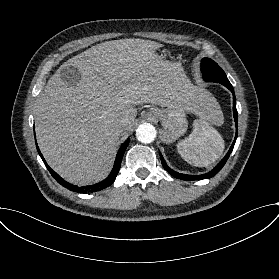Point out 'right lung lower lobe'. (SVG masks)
I'll list each match as a JSON object with an SVG mask.
<instances>
[{
  "label": "right lung lower lobe",
  "instance_id": "obj_1",
  "mask_svg": "<svg viewBox=\"0 0 279 279\" xmlns=\"http://www.w3.org/2000/svg\"><path fill=\"white\" fill-rule=\"evenodd\" d=\"M129 144V139L126 140L124 142V144L120 147L118 153H117V156H116V160H115V163H114V167L111 171V173L109 174V176L99 182V183H96V184H93V185H87V186H76V185H73V184H70L68 182H66L64 179H62L56 172H54L46 163L45 159L43 158L38 146L36 145L37 147V150H38V153L39 155L41 156L43 162L45 163L46 167L48 168V170L50 171L51 175L55 178V180L61 184L62 186L66 187L67 189L73 191V192H77V193H93V192H96V191H100V190H103L107 187H109L115 180L118 172H119V169H120V166H121V161H122V158H123V155L125 153V150L127 148Z\"/></svg>",
  "mask_w": 279,
  "mask_h": 279
}]
</instances>
